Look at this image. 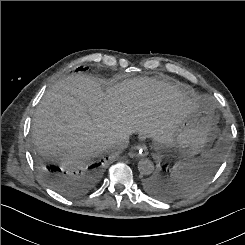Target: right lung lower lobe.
Instances as JSON below:
<instances>
[{"label":"right lung lower lobe","instance_id":"1","mask_svg":"<svg viewBox=\"0 0 245 245\" xmlns=\"http://www.w3.org/2000/svg\"><path fill=\"white\" fill-rule=\"evenodd\" d=\"M101 169V163L92 164L80 172L69 170L68 173L53 165L41 167L48 183L60 194L71 198L85 194L95 183Z\"/></svg>","mask_w":245,"mask_h":245}]
</instances>
